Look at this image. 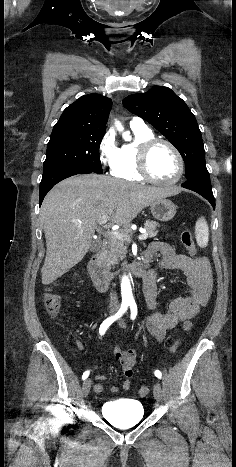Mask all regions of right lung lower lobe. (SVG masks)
<instances>
[{
	"mask_svg": "<svg viewBox=\"0 0 236 467\" xmlns=\"http://www.w3.org/2000/svg\"><path fill=\"white\" fill-rule=\"evenodd\" d=\"M93 171L84 167L68 165L60 166L46 172H43L39 189V203L41 205L47 192L61 180L76 174H87Z\"/></svg>",
	"mask_w": 236,
	"mask_h": 467,
	"instance_id": "98d812e1",
	"label": "right lung lower lobe"
}]
</instances>
